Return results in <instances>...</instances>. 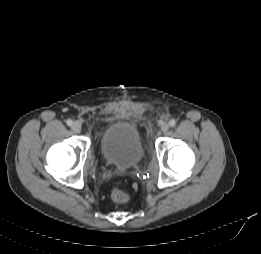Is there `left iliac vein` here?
<instances>
[{
    "label": "left iliac vein",
    "instance_id": "4c4485c4",
    "mask_svg": "<svg viewBox=\"0 0 261 254\" xmlns=\"http://www.w3.org/2000/svg\"><path fill=\"white\" fill-rule=\"evenodd\" d=\"M169 129V125L167 123H164L161 125V132L165 133Z\"/></svg>",
    "mask_w": 261,
    "mask_h": 254
}]
</instances>
